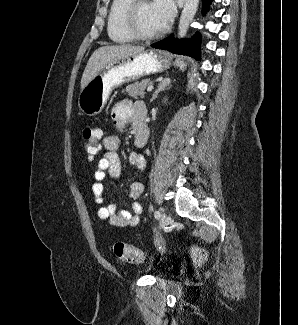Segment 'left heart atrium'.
Here are the masks:
<instances>
[{
    "label": "left heart atrium",
    "instance_id": "left-heart-atrium-1",
    "mask_svg": "<svg viewBox=\"0 0 298 325\" xmlns=\"http://www.w3.org/2000/svg\"><path fill=\"white\" fill-rule=\"evenodd\" d=\"M157 13L162 29L168 27L173 20L176 9L173 1L171 0H159L156 2Z\"/></svg>",
    "mask_w": 298,
    "mask_h": 325
}]
</instances>
